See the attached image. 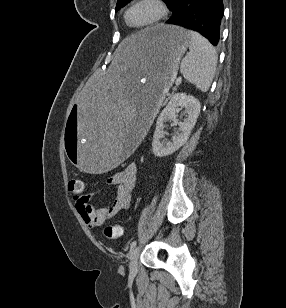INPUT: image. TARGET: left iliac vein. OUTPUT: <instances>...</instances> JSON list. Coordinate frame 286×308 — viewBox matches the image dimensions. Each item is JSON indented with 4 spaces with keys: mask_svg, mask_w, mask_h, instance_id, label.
<instances>
[{
    "mask_svg": "<svg viewBox=\"0 0 286 308\" xmlns=\"http://www.w3.org/2000/svg\"><path fill=\"white\" fill-rule=\"evenodd\" d=\"M140 253V247L136 246L131 249L129 254V270L132 275L137 272V261Z\"/></svg>",
    "mask_w": 286,
    "mask_h": 308,
    "instance_id": "4c4485c4",
    "label": "left iliac vein"
}]
</instances>
